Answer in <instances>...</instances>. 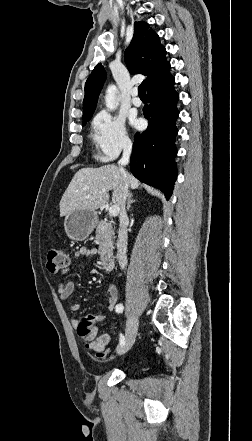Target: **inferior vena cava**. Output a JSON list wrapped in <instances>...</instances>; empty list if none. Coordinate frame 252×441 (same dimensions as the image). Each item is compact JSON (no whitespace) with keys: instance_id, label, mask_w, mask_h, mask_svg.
I'll use <instances>...</instances> for the list:
<instances>
[{"instance_id":"obj_1","label":"inferior vena cava","mask_w":252,"mask_h":441,"mask_svg":"<svg viewBox=\"0 0 252 441\" xmlns=\"http://www.w3.org/2000/svg\"><path fill=\"white\" fill-rule=\"evenodd\" d=\"M131 151H132V147L130 145L125 146L123 149V156L118 162L119 169L124 176V183L122 187V201H121L120 216H119L118 240H117V257L119 259V265L121 269H125V267L127 266L128 217L125 210V203L129 196L128 180L123 166L128 164Z\"/></svg>"}]
</instances>
